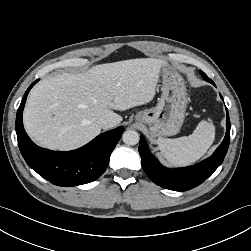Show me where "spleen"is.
Masks as SVG:
<instances>
[{
  "label": "spleen",
  "mask_w": 251,
  "mask_h": 251,
  "mask_svg": "<svg viewBox=\"0 0 251 251\" xmlns=\"http://www.w3.org/2000/svg\"><path fill=\"white\" fill-rule=\"evenodd\" d=\"M215 139V126L211 119L202 120L189 136L175 139L158 138L157 144L165 159L178 166L198 161L206 154Z\"/></svg>",
  "instance_id": "spleen-1"
}]
</instances>
